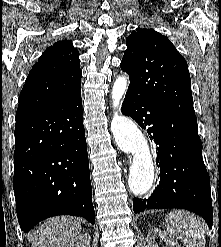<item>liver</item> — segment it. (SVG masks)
I'll return each instance as SVG.
<instances>
[{
    "instance_id": "liver-1",
    "label": "liver",
    "mask_w": 221,
    "mask_h": 247,
    "mask_svg": "<svg viewBox=\"0 0 221 247\" xmlns=\"http://www.w3.org/2000/svg\"><path fill=\"white\" fill-rule=\"evenodd\" d=\"M81 230V220L67 216L53 217L44 221L29 234L32 247H64Z\"/></svg>"
}]
</instances>
